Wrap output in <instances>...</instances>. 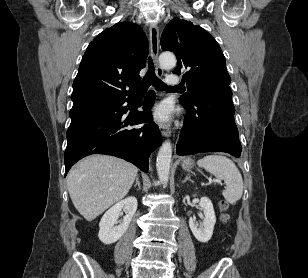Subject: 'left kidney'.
<instances>
[{"label":"left kidney","instance_id":"left-kidney-1","mask_svg":"<svg viewBox=\"0 0 308 278\" xmlns=\"http://www.w3.org/2000/svg\"><path fill=\"white\" fill-rule=\"evenodd\" d=\"M199 206L203 209L204 219L202 224L195 225L192 218L189 219V227L195 238L202 242L207 243L213 234L214 225L216 223V216L211 200L207 197L200 199Z\"/></svg>","mask_w":308,"mask_h":278}]
</instances>
